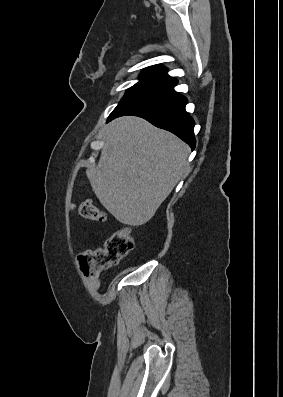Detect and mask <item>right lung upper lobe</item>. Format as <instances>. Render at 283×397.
<instances>
[{"label":"right lung upper lobe","instance_id":"cb5924a9","mask_svg":"<svg viewBox=\"0 0 283 397\" xmlns=\"http://www.w3.org/2000/svg\"><path fill=\"white\" fill-rule=\"evenodd\" d=\"M167 69L164 66L156 65L146 68L141 75L146 76L153 80L165 81L170 85L177 83V80L167 74Z\"/></svg>","mask_w":283,"mask_h":397}]
</instances>
